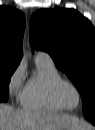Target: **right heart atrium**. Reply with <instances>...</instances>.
I'll use <instances>...</instances> for the list:
<instances>
[{
    "label": "right heart atrium",
    "instance_id": "1",
    "mask_svg": "<svg viewBox=\"0 0 95 130\" xmlns=\"http://www.w3.org/2000/svg\"><path fill=\"white\" fill-rule=\"evenodd\" d=\"M25 76V69L22 64H19L12 74L9 77L8 80V91L10 95H16L18 92H20L23 81Z\"/></svg>",
    "mask_w": 95,
    "mask_h": 130
}]
</instances>
